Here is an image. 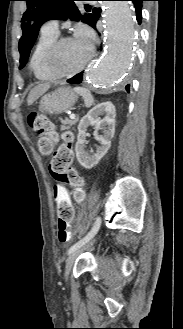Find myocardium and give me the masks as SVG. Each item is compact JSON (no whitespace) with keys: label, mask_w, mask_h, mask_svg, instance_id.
Returning a JSON list of instances; mask_svg holds the SVG:
<instances>
[{"label":"myocardium","mask_w":183,"mask_h":329,"mask_svg":"<svg viewBox=\"0 0 183 329\" xmlns=\"http://www.w3.org/2000/svg\"><path fill=\"white\" fill-rule=\"evenodd\" d=\"M70 39H72V37H70V36H62L60 38H57L55 40V42L52 44V46L50 47L49 51H48V54H47V57H46V66H47V69L50 72L51 76L54 79L55 78L71 77V76H74V75L80 73L91 62V60L94 56L93 51L90 50L88 58L78 68H76L74 70H71V71H68V72L58 71L57 68H56V63H57V59H58V56H59L60 48H61V46L64 42H66L67 40H70Z\"/></svg>","instance_id":"myocardium-1"}]
</instances>
